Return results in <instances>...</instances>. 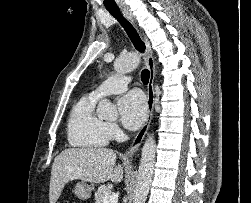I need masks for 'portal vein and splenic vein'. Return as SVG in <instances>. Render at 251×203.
Segmentation results:
<instances>
[{
    "label": "portal vein and splenic vein",
    "mask_w": 251,
    "mask_h": 203,
    "mask_svg": "<svg viewBox=\"0 0 251 203\" xmlns=\"http://www.w3.org/2000/svg\"><path fill=\"white\" fill-rule=\"evenodd\" d=\"M118 194L112 193L111 195H107L103 198V203H117Z\"/></svg>",
    "instance_id": "18ae733b"
}]
</instances>
